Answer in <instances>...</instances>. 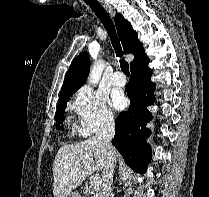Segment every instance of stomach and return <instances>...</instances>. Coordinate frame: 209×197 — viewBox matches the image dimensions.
Instances as JSON below:
<instances>
[{"instance_id": "stomach-1", "label": "stomach", "mask_w": 209, "mask_h": 197, "mask_svg": "<svg viewBox=\"0 0 209 197\" xmlns=\"http://www.w3.org/2000/svg\"><path fill=\"white\" fill-rule=\"evenodd\" d=\"M67 197H80V195L76 192H72Z\"/></svg>"}]
</instances>
